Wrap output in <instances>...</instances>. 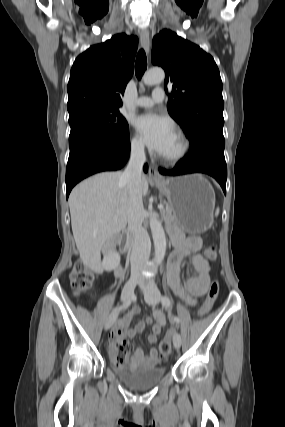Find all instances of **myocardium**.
<instances>
[{
    "mask_svg": "<svg viewBox=\"0 0 285 427\" xmlns=\"http://www.w3.org/2000/svg\"><path fill=\"white\" fill-rule=\"evenodd\" d=\"M175 135L178 137L179 141H180V149L179 151L171 156H163V155H158V159L166 164H175L180 162L182 159L185 158V156L188 154L189 150H190V141L188 139V137L186 136V134L179 130L176 129L174 131Z\"/></svg>",
    "mask_w": 285,
    "mask_h": 427,
    "instance_id": "1",
    "label": "myocardium"
}]
</instances>
